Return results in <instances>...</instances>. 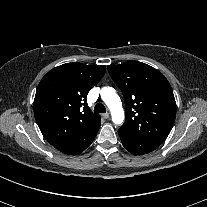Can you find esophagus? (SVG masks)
Returning <instances> with one entry per match:
<instances>
[{
    "mask_svg": "<svg viewBox=\"0 0 207 207\" xmlns=\"http://www.w3.org/2000/svg\"><path fill=\"white\" fill-rule=\"evenodd\" d=\"M103 117H104L105 119H108V118H109V113H105V114H103Z\"/></svg>",
    "mask_w": 207,
    "mask_h": 207,
    "instance_id": "34e87169",
    "label": "esophagus"
}]
</instances>
